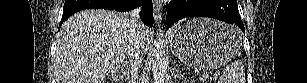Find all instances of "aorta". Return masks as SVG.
I'll return each mask as SVG.
<instances>
[{"label":"aorta","mask_w":307,"mask_h":83,"mask_svg":"<svg viewBox=\"0 0 307 83\" xmlns=\"http://www.w3.org/2000/svg\"><path fill=\"white\" fill-rule=\"evenodd\" d=\"M163 37L162 30H159V32H157L155 48L152 54V75L154 83H164L167 73V60Z\"/></svg>","instance_id":"aorta-1"}]
</instances>
